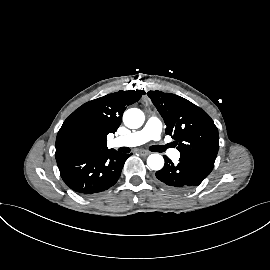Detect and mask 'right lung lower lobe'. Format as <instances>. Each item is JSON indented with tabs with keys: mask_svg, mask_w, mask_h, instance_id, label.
I'll return each instance as SVG.
<instances>
[{
	"mask_svg": "<svg viewBox=\"0 0 270 270\" xmlns=\"http://www.w3.org/2000/svg\"><path fill=\"white\" fill-rule=\"evenodd\" d=\"M129 156L114 149L90 150L56 161L67 186L77 193L90 195L113 186Z\"/></svg>",
	"mask_w": 270,
	"mask_h": 270,
	"instance_id": "obj_1",
	"label": "right lung lower lobe"
}]
</instances>
